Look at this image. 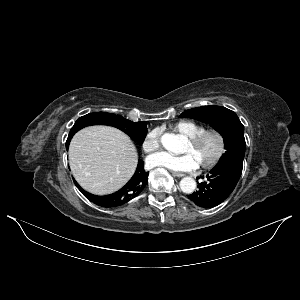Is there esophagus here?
<instances>
[{
    "label": "esophagus",
    "mask_w": 300,
    "mask_h": 300,
    "mask_svg": "<svg viewBox=\"0 0 300 300\" xmlns=\"http://www.w3.org/2000/svg\"><path fill=\"white\" fill-rule=\"evenodd\" d=\"M172 175L176 176V177H183V176H185L184 173H180V172H172Z\"/></svg>",
    "instance_id": "obj_1"
}]
</instances>
